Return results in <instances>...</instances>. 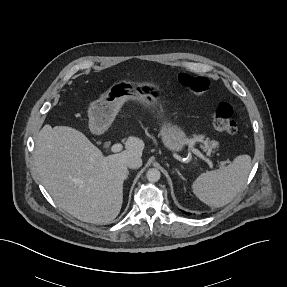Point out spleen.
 <instances>
[{
  "label": "spleen",
  "instance_id": "spleen-1",
  "mask_svg": "<svg viewBox=\"0 0 287 287\" xmlns=\"http://www.w3.org/2000/svg\"><path fill=\"white\" fill-rule=\"evenodd\" d=\"M251 168V157L239 155L225 167L202 173L192 185L193 192L208 206L222 207L244 187Z\"/></svg>",
  "mask_w": 287,
  "mask_h": 287
}]
</instances>
